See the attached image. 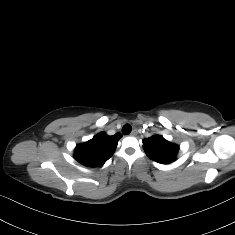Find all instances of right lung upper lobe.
Segmentation results:
<instances>
[{
  "label": "right lung upper lobe",
  "mask_w": 235,
  "mask_h": 235,
  "mask_svg": "<svg viewBox=\"0 0 235 235\" xmlns=\"http://www.w3.org/2000/svg\"><path fill=\"white\" fill-rule=\"evenodd\" d=\"M121 137L120 133L109 136L101 132L91 140L78 144L74 157L80 164L87 167L102 166L113 155Z\"/></svg>",
  "instance_id": "1"
}]
</instances>
